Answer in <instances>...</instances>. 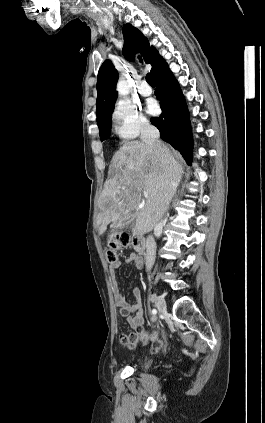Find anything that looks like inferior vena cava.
<instances>
[{
    "label": "inferior vena cava",
    "mask_w": 265,
    "mask_h": 423,
    "mask_svg": "<svg viewBox=\"0 0 265 423\" xmlns=\"http://www.w3.org/2000/svg\"><path fill=\"white\" fill-rule=\"evenodd\" d=\"M159 130L150 123H144L141 129V141L149 146L156 147L158 150H164L161 142ZM168 196V190L165 192V197ZM156 258V242L152 235L146 239V269L150 270L154 265Z\"/></svg>",
    "instance_id": "inferior-vena-cava-1"
}]
</instances>
